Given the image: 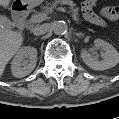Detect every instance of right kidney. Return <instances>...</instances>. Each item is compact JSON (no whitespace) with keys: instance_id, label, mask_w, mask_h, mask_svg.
I'll use <instances>...</instances> for the list:
<instances>
[{"instance_id":"ca27d5eb","label":"right kidney","mask_w":119,"mask_h":119,"mask_svg":"<svg viewBox=\"0 0 119 119\" xmlns=\"http://www.w3.org/2000/svg\"><path fill=\"white\" fill-rule=\"evenodd\" d=\"M36 62L37 49L31 46L22 47L18 50L11 63L13 76L22 78L29 75L34 70Z\"/></svg>"}]
</instances>
